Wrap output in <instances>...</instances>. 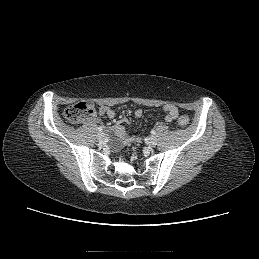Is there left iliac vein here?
<instances>
[{
	"label": "left iliac vein",
	"mask_w": 259,
	"mask_h": 259,
	"mask_svg": "<svg viewBox=\"0 0 259 259\" xmlns=\"http://www.w3.org/2000/svg\"><path fill=\"white\" fill-rule=\"evenodd\" d=\"M148 145L154 147L157 145V138L155 136H150L148 138Z\"/></svg>",
	"instance_id": "left-iliac-vein-1"
}]
</instances>
